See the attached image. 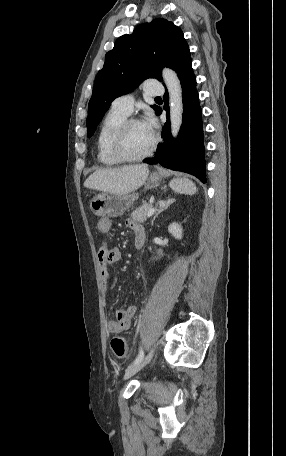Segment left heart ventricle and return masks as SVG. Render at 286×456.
<instances>
[{"label":"left heart ventricle","mask_w":286,"mask_h":456,"mask_svg":"<svg viewBox=\"0 0 286 456\" xmlns=\"http://www.w3.org/2000/svg\"><path fill=\"white\" fill-rule=\"evenodd\" d=\"M152 134L143 123L134 124L126 132L123 150L131 157L143 155L152 143Z\"/></svg>","instance_id":"left-heart-ventricle-1"}]
</instances>
